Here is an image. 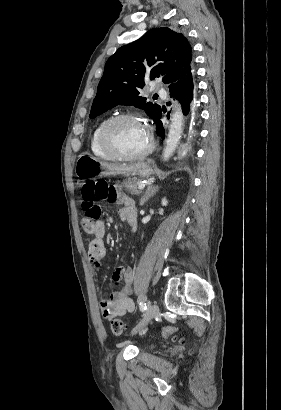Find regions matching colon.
I'll use <instances>...</instances> for the list:
<instances>
[{
    "label": "colon",
    "instance_id": "1",
    "mask_svg": "<svg viewBox=\"0 0 281 410\" xmlns=\"http://www.w3.org/2000/svg\"><path fill=\"white\" fill-rule=\"evenodd\" d=\"M118 191L105 180L89 182L83 185L81 191V206L84 215L81 220L82 228L89 233L95 231L96 223L101 217L100 202H114L118 199ZM179 327L164 326L162 335L166 338L171 337ZM111 331L117 336H121L125 331V325L121 319H114L111 322Z\"/></svg>",
    "mask_w": 281,
    "mask_h": 410
}]
</instances>
